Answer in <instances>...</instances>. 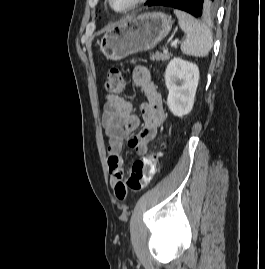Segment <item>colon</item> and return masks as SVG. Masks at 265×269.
<instances>
[{
	"mask_svg": "<svg viewBox=\"0 0 265 269\" xmlns=\"http://www.w3.org/2000/svg\"><path fill=\"white\" fill-rule=\"evenodd\" d=\"M124 87L125 78L121 70L116 67L110 68L103 85L104 91L110 95H116L121 93L124 90ZM161 147H163V145ZM160 156L161 150H158L151 155L135 160L126 182L123 186L117 187L116 196L119 199H123L126 196L127 191L139 192L146 188L156 173Z\"/></svg>",
	"mask_w": 265,
	"mask_h": 269,
	"instance_id": "colon-1",
	"label": "colon"
}]
</instances>
